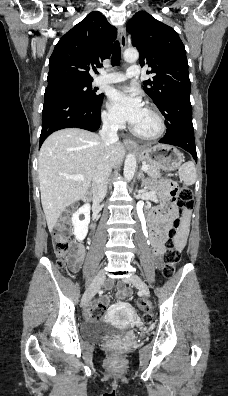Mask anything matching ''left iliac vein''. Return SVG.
<instances>
[{"instance_id": "left-iliac-vein-1", "label": "left iliac vein", "mask_w": 228, "mask_h": 396, "mask_svg": "<svg viewBox=\"0 0 228 396\" xmlns=\"http://www.w3.org/2000/svg\"><path fill=\"white\" fill-rule=\"evenodd\" d=\"M124 282L135 285L141 290L145 297H150L148 285L139 276L131 275L130 277L124 278Z\"/></svg>"}]
</instances>
